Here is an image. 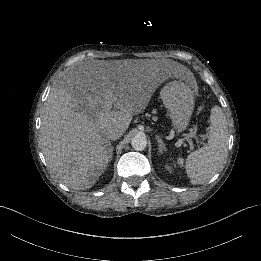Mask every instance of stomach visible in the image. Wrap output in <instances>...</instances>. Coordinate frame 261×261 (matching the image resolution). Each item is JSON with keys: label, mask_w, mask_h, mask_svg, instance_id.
<instances>
[{"label": "stomach", "mask_w": 261, "mask_h": 261, "mask_svg": "<svg viewBox=\"0 0 261 261\" xmlns=\"http://www.w3.org/2000/svg\"><path fill=\"white\" fill-rule=\"evenodd\" d=\"M161 99L169 110L171 128L178 135L185 132L194 111L195 91L184 82L175 81L162 89Z\"/></svg>", "instance_id": "0dacf381"}]
</instances>
